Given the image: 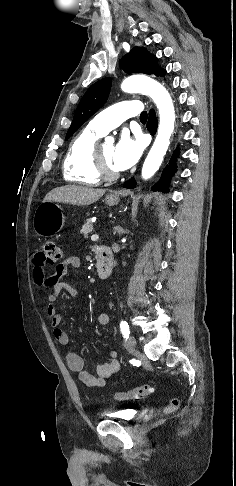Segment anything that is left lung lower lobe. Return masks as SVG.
Wrapping results in <instances>:
<instances>
[{"label": "left lung lower lobe", "mask_w": 236, "mask_h": 486, "mask_svg": "<svg viewBox=\"0 0 236 486\" xmlns=\"http://www.w3.org/2000/svg\"><path fill=\"white\" fill-rule=\"evenodd\" d=\"M147 128L148 130L153 134V132L156 131L157 128V119L154 110H151L149 113V120L147 123ZM179 152L175 151L173 153L172 159L169 162V165H167L162 173L160 181L152 188L153 191H163L167 192L170 178L174 173V170L176 169L175 166V159L178 157ZM135 180L132 178L129 182L126 183L125 187L126 188H134L135 187Z\"/></svg>", "instance_id": "left-lung-lower-lobe-1"}]
</instances>
